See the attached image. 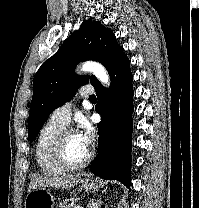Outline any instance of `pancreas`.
<instances>
[{
    "instance_id": "pancreas-1",
    "label": "pancreas",
    "mask_w": 199,
    "mask_h": 208,
    "mask_svg": "<svg viewBox=\"0 0 199 208\" xmlns=\"http://www.w3.org/2000/svg\"><path fill=\"white\" fill-rule=\"evenodd\" d=\"M57 208H72V204L70 203L69 200H65V201L59 203Z\"/></svg>"
}]
</instances>
